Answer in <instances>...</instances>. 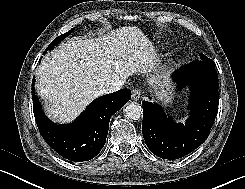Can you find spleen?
<instances>
[{"label":"spleen","instance_id":"spleen-1","mask_svg":"<svg viewBox=\"0 0 245 189\" xmlns=\"http://www.w3.org/2000/svg\"><path fill=\"white\" fill-rule=\"evenodd\" d=\"M186 119H187V117H184V118H183V119H181L180 121H183V122H184Z\"/></svg>","mask_w":245,"mask_h":189}]
</instances>
